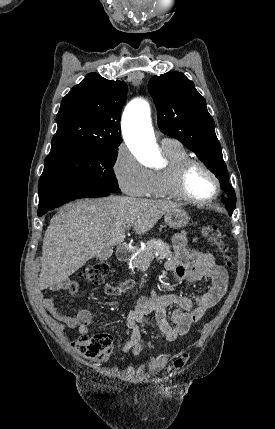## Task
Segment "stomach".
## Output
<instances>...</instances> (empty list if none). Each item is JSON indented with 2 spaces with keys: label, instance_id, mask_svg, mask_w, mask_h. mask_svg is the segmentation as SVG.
<instances>
[{
  "label": "stomach",
  "instance_id": "obj_1",
  "mask_svg": "<svg viewBox=\"0 0 275 429\" xmlns=\"http://www.w3.org/2000/svg\"><path fill=\"white\" fill-rule=\"evenodd\" d=\"M164 221L169 227L179 229L188 224L189 216L184 209L177 207L165 214Z\"/></svg>",
  "mask_w": 275,
  "mask_h": 429
}]
</instances>
